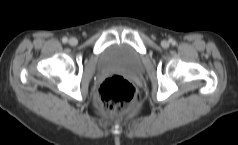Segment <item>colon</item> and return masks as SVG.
I'll return each instance as SVG.
<instances>
[{"mask_svg": "<svg viewBox=\"0 0 238 145\" xmlns=\"http://www.w3.org/2000/svg\"><path fill=\"white\" fill-rule=\"evenodd\" d=\"M97 95L102 108L114 115L125 114L139 102L136 87L119 75L106 78L98 87Z\"/></svg>", "mask_w": 238, "mask_h": 145, "instance_id": "colon-1", "label": "colon"}]
</instances>
